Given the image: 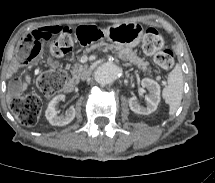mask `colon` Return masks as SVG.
I'll use <instances>...</instances> for the list:
<instances>
[{"label": "colon", "instance_id": "colon-1", "mask_svg": "<svg viewBox=\"0 0 215 183\" xmlns=\"http://www.w3.org/2000/svg\"><path fill=\"white\" fill-rule=\"evenodd\" d=\"M50 36H47L48 39ZM55 40L52 45V54L55 56H65L73 46L72 31L70 29L61 30L54 34ZM142 47L146 54L154 56V62L158 69L169 70L174 64L172 51L164 48L162 35L154 28H147L144 32ZM41 41L36 39L30 47L25 41L21 45L19 56L34 57L40 52ZM66 76L60 70L43 73L37 80L40 91L45 95H53L60 91L65 83ZM11 109L24 126H34L40 117L42 103L39 97L29 94L16 97L11 101Z\"/></svg>", "mask_w": 215, "mask_h": 183}]
</instances>
